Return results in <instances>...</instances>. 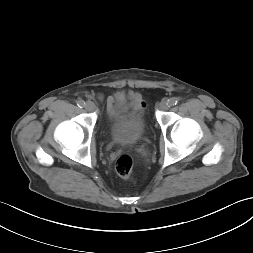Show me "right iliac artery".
Returning <instances> with one entry per match:
<instances>
[{"instance_id": "obj_1", "label": "right iliac artery", "mask_w": 253, "mask_h": 253, "mask_svg": "<svg viewBox=\"0 0 253 253\" xmlns=\"http://www.w3.org/2000/svg\"><path fill=\"white\" fill-rule=\"evenodd\" d=\"M78 107L83 108L85 106V102L83 100H79L77 102Z\"/></svg>"}]
</instances>
